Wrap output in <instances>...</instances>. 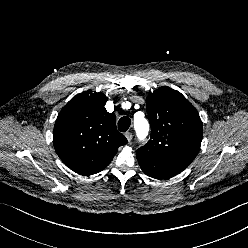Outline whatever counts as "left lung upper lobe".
<instances>
[{"label":"left lung upper lobe","mask_w":248,"mask_h":248,"mask_svg":"<svg viewBox=\"0 0 248 248\" xmlns=\"http://www.w3.org/2000/svg\"><path fill=\"white\" fill-rule=\"evenodd\" d=\"M151 138L137 152L143 172L167 179L182 172L197 156L202 122L197 110L178 91L161 87L146 98Z\"/></svg>","instance_id":"5c2ea615"}]
</instances>
